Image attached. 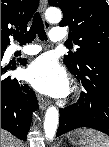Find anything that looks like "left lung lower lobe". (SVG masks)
<instances>
[{"label":"left lung lower lobe","mask_w":109,"mask_h":147,"mask_svg":"<svg viewBox=\"0 0 109 147\" xmlns=\"http://www.w3.org/2000/svg\"><path fill=\"white\" fill-rule=\"evenodd\" d=\"M85 92L77 103L60 109L56 137L80 127H89L109 135V58L90 55L81 70L74 73Z\"/></svg>","instance_id":"left-lung-lower-lobe-1"}]
</instances>
